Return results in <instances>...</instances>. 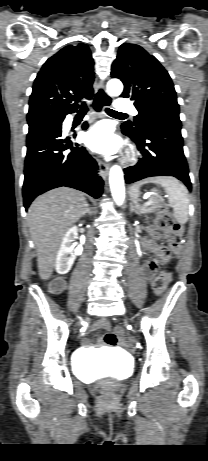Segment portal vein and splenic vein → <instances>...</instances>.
<instances>
[{
	"label": "portal vein and splenic vein",
	"instance_id": "obj_1",
	"mask_svg": "<svg viewBox=\"0 0 208 461\" xmlns=\"http://www.w3.org/2000/svg\"><path fill=\"white\" fill-rule=\"evenodd\" d=\"M147 198H149V195H146V196L144 197V199H147ZM152 204H157V202L154 201V200H152V199H149V200L145 203V206L152 205Z\"/></svg>",
	"mask_w": 208,
	"mask_h": 461
}]
</instances>
